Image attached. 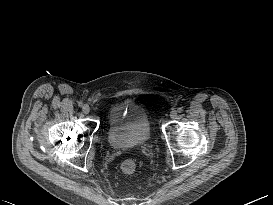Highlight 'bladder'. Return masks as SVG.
<instances>
[{"label":"bladder","instance_id":"31cf9c89","mask_svg":"<svg viewBox=\"0 0 273 205\" xmlns=\"http://www.w3.org/2000/svg\"><path fill=\"white\" fill-rule=\"evenodd\" d=\"M151 135L148 113L135 101L114 105L107 115V141L117 150H130L144 145Z\"/></svg>","mask_w":273,"mask_h":205}]
</instances>
